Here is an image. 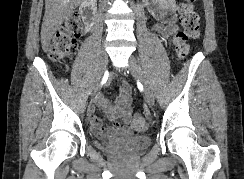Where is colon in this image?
Masks as SVG:
<instances>
[{
  "label": "colon",
  "mask_w": 244,
  "mask_h": 179,
  "mask_svg": "<svg viewBox=\"0 0 244 179\" xmlns=\"http://www.w3.org/2000/svg\"><path fill=\"white\" fill-rule=\"evenodd\" d=\"M197 0H185L179 5L178 16L181 29L173 38L175 54L179 60H183L189 52V41L198 36L200 16L194 8ZM81 31V24L77 17L68 18L59 28L51 44L49 56L51 60L59 64L70 58L76 51L75 39ZM136 113L140 112L139 108L135 109ZM133 128L137 131L146 129L144 119L139 115L132 116Z\"/></svg>",
  "instance_id": "1"
}]
</instances>
